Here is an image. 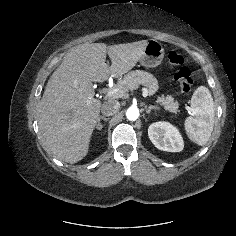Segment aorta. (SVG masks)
<instances>
[{"label":"aorta","instance_id":"aorta-1","mask_svg":"<svg viewBox=\"0 0 236 236\" xmlns=\"http://www.w3.org/2000/svg\"><path fill=\"white\" fill-rule=\"evenodd\" d=\"M126 117L130 121H135L139 117V109L137 107L131 106L126 111Z\"/></svg>","mask_w":236,"mask_h":236}]
</instances>
